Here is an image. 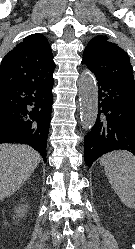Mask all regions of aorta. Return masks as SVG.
Masks as SVG:
<instances>
[{"label":"aorta","mask_w":135,"mask_h":249,"mask_svg":"<svg viewBox=\"0 0 135 249\" xmlns=\"http://www.w3.org/2000/svg\"><path fill=\"white\" fill-rule=\"evenodd\" d=\"M79 100L81 122L84 129H91L98 114V90L95 77L88 70H84L79 78Z\"/></svg>","instance_id":"1"}]
</instances>
